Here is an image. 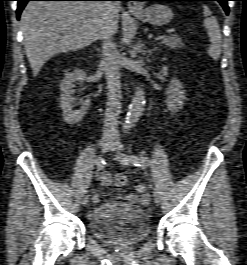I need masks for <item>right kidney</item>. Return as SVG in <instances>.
<instances>
[{"label": "right kidney", "instance_id": "1", "mask_svg": "<svg viewBox=\"0 0 247 265\" xmlns=\"http://www.w3.org/2000/svg\"><path fill=\"white\" fill-rule=\"evenodd\" d=\"M85 78L86 73L84 70L75 69L73 72L67 74V76L61 82L60 106L63 111V119L69 125L78 123L83 118L90 106V99L81 98L79 100L80 109L73 110L74 103L76 102V99L73 97V94L75 93L74 88L76 83H80L82 85Z\"/></svg>", "mask_w": 247, "mask_h": 265}]
</instances>
